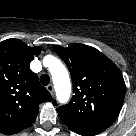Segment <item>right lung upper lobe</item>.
I'll list each match as a JSON object with an SVG mask.
<instances>
[{"label": "right lung upper lobe", "instance_id": "cb5924a9", "mask_svg": "<svg viewBox=\"0 0 136 136\" xmlns=\"http://www.w3.org/2000/svg\"><path fill=\"white\" fill-rule=\"evenodd\" d=\"M40 47L21 40L0 42V133L12 135L27 128L38 114V106L52 96L31 71L30 62Z\"/></svg>", "mask_w": 136, "mask_h": 136}]
</instances>
